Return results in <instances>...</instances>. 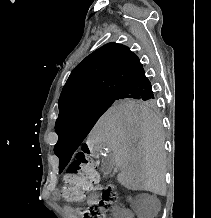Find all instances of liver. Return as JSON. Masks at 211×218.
I'll return each instance as SVG.
<instances>
[{"instance_id":"6515ba94","label":"liver","mask_w":211,"mask_h":218,"mask_svg":"<svg viewBox=\"0 0 211 218\" xmlns=\"http://www.w3.org/2000/svg\"><path fill=\"white\" fill-rule=\"evenodd\" d=\"M87 144L112 152L119 184L128 190H149L165 196V152L160 120L146 108L112 106L96 126Z\"/></svg>"}]
</instances>
